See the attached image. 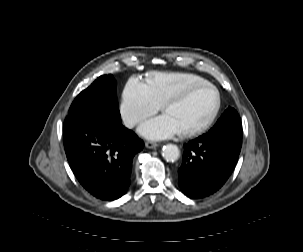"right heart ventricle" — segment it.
Masks as SVG:
<instances>
[{"mask_svg": "<svg viewBox=\"0 0 303 252\" xmlns=\"http://www.w3.org/2000/svg\"><path fill=\"white\" fill-rule=\"evenodd\" d=\"M202 81V78L192 74L157 73L145 85L150 97L163 106L168 100L180 97Z\"/></svg>", "mask_w": 303, "mask_h": 252, "instance_id": "right-heart-ventricle-1", "label": "right heart ventricle"}]
</instances>
